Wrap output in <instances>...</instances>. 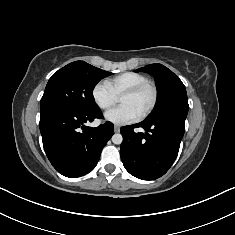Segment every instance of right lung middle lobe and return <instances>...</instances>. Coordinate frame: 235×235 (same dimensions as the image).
I'll list each match as a JSON object with an SVG mask.
<instances>
[{
	"instance_id": "right-lung-middle-lobe-1",
	"label": "right lung middle lobe",
	"mask_w": 235,
	"mask_h": 235,
	"mask_svg": "<svg viewBox=\"0 0 235 235\" xmlns=\"http://www.w3.org/2000/svg\"><path fill=\"white\" fill-rule=\"evenodd\" d=\"M111 74L84 61L66 65L49 79L40 101V110L63 108L86 112L98 108L93 89L102 78Z\"/></svg>"
}]
</instances>
